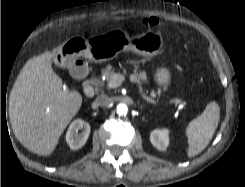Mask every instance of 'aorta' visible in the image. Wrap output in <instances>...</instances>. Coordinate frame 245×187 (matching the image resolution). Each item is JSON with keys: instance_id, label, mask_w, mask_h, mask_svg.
Returning a JSON list of instances; mask_svg holds the SVG:
<instances>
[{"instance_id": "762f6f07", "label": "aorta", "mask_w": 245, "mask_h": 187, "mask_svg": "<svg viewBox=\"0 0 245 187\" xmlns=\"http://www.w3.org/2000/svg\"><path fill=\"white\" fill-rule=\"evenodd\" d=\"M116 111L119 116H126L128 107L126 104L120 103L117 105Z\"/></svg>"}]
</instances>
